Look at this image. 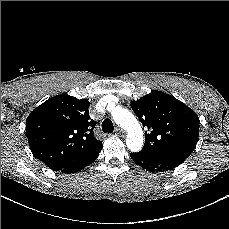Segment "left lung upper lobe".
I'll return each instance as SVG.
<instances>
[{"label":"left lung upper lobe","mask_w":229,"mask_h":229,"mask_svg":"<svg viewBox=\"0 0 229 229\" xmlns=\"http://www.w3.org/2000/svg\"><path fill=\"white\" fill-rule=\"evenodd\" d=\"M143 126L145 144L138 154L154 158L186 159L194 151L199 137L198 115L174 96L160 91L131 102Z\"/></svg>","instance_id":"1"}]
</instances>
